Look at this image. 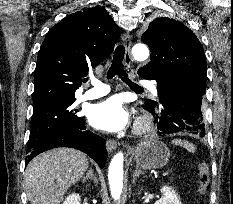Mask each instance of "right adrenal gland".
<instances>
[{
	"mask_svg": "<svg viewBox=\"0 0 233 204\" xmlns=\"http://www.w3.org/2000/svg\"><path fill=\"white\" fill-rule=\"evenodd\" d=\"M88 179H93L95 182H97V178L96 176L93 174V171L91 169V167L88 170V173L86 174V176L82 179V182L85 183Z\"/></svg>",
	"mask_w": 233,
	"mask_h": 204,
	"instance_id": "2a0ac1e0",
	"label": "right adrenal gland"
}]
</instances>
